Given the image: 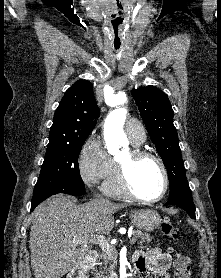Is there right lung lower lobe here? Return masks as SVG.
Returning a JSON list of instances; mask_svg holds the SVG:
<instances>
[{
	"mask_svg": "<svg viewBox=\"0 0 221 278\" xmlns=\"http://www.w3.org/2000/svg\"><path fill=\"white\" fill-rule=\"evenodd\" d=\"M85 187H77V186H73V185H59L56 186L54 188H51L50 190H48L46 193H44L43 195H41L39 198L37 199H32L31 202V211L34 210V208L40 204L42 201H44L45 199H47L48 197L58 194V193H65V194H69V195H83L85 194Z\"/></svg>",
	"mask_w": 221,
	"mask_h": 278,
	"instance_id": "98d812e1",
	"label": "right lung lower lobe"
}]
</instances>
